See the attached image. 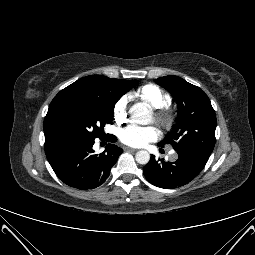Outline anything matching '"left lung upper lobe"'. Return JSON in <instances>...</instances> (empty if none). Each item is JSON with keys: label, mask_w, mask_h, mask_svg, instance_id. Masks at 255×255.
Listing matches in <instances>:
<instances>
[{"label": "left lung upper lobe", "mask_w": 255, "mask_h": 255, "mask_svg": "<svg viewBox=\"0 0 255 255\" xmlns=\"http://www.w3.org/2000/svg\"><path fill=\"white\" fill-rule=\"evenodd\" d=\"M178 105L177 123L159 146L171 144L176 151L188 150L211 155L215 145L216 116L208 96L178 76L158 78Z\"/></svg>", "instance_id": "left-lung-upper-lobe-1"}]
</instances>
